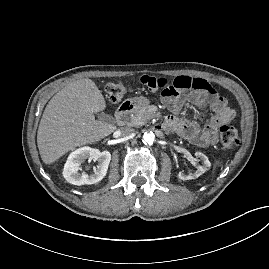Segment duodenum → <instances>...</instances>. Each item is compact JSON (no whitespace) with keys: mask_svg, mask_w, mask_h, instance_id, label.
Instances as JSON below:
<instances>
[{"mask_svg":"<svg viewBox=\"0 0 269 269\" xmlns=\"http://www.w3.org/2000/svg\"><path fill=\"white\" fill-rule=\"evenodd\" d=\"M136 104L132 101L123 102L116 110L115 116L119 124H122L125 118L135 109Z\"/></svg>","mask_w":269,"mask_h":269,"instance_id":"1","label":"duodenum"}]
</instances>
